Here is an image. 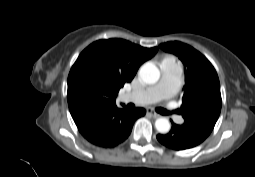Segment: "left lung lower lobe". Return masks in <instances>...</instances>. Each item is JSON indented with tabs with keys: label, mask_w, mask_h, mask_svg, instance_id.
I'll list each match as a JSON object with an SVG mask.
<instances>
[{
	"label": "left lung lower lobe",
	"mask_w": 255,
	"mask_h": 177,
	"mask_svg": "<svg viewBox=\"0 0 255 177\" xmlns=\"http://www.w3.org/2000/svg\"><path fill=\"white\" fill-rule=\"evenodd\" d=\"M208 136L193 131L185 125H177L172 122V128L168 134L157 135L158 141L164 146L174 150H185L202 143Z\"/></svg>",
	"instance_id": "1"
}]
</instances>
